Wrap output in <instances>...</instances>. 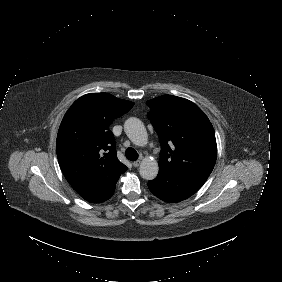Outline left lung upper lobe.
Segmentation results:
<instances>
[{"label": "left lung upper lobe", "instance_id": "5c2ea615", "mask_svg": "<svg viewBox=\"0 0 282 282\" xmlns=\"http://www.w3.org/2000/svg\"><path fill=\"white\" fill-rule=\"evenodd\" d=\"M161 143L159 171L210 175L217 155L214 129L191 101L163 95L146 102Z\"/></svg>", "mask_w": 282, "mask_h": 282}]
</instances>
